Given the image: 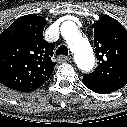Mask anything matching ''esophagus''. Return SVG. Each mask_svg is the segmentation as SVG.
Wrapping results in <instances>:
<instances>
[{
    "label": "esophagus",
    "instance_id": "obj_1",
    "mask_svg": "<svg viewBox=\"0 0 127 127\" xmlns=\"http://www.w3.org/2000/svg\"><path fill=\"white\" fill-rule=\"evenodd\" d=\"M57 59H58L59 62H67L71 59V57L60 55V56L57 57Z\"/></svg>",
    "mask_w": 127,
    "mask_h": 127
}]
</instances>
